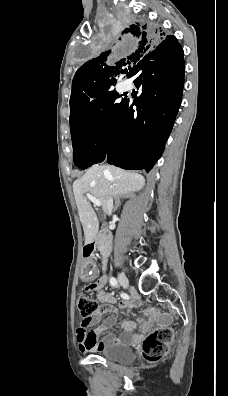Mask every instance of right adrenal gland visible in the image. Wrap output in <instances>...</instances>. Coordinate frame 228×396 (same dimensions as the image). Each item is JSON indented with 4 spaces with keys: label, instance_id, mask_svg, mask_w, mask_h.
I'll return each mask as SVG.
<instances>
[{
    "label": "right adrenal gland",
    "instance_id": "obj_1",
    "mask_svg": "<svg viewBox=\"0 0 228 396\" xmlns=\"http://www.w3.org/2000/svg\"><path fill=\"white\" fill-rule=\"evenodd\" d=\"M127 196H128V195H122V196H118V197L116 198L114 211H116V210L118 209V207L120 206V198H125V197H127Z\"/></svg>",
    "mask_w": 228,
    "mask_h": 396
}]
</instances>
